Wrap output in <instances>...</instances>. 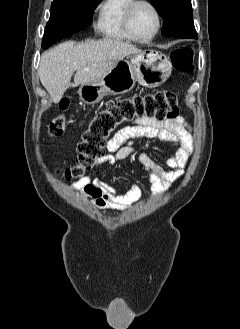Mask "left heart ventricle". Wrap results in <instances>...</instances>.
<instances>
[{"label":"left heart ventricle","instance_id":"obj_1","mask_svg":"<svg viewBox=\"0 0 240 329\" xmlns=\"http://www.w3.org/2000/svg\"><path fill=\"white\" fill-rule=\"evenodd\" d=\"M131 26L137 36H150L156 28V18L153 11L148 6H138L133 13Z\"/></svg>","mask_w":240,"mask_h":329}]
</instances>
